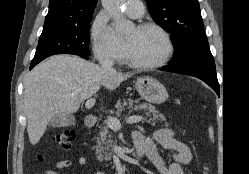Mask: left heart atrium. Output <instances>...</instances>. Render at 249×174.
I'll return each mask as SVG.
<instances>
[{"mask_svg": "<svg viewBox=\"0 0 249 174\" xmlns=\"http://www.w3.org/2000/svg\"><path fill=\"white\" fill-rule=\"evenodd\" d=\"M119 51L121 54H125V51H126V46L123 44L119 47Z\"/></svg>", "mask_w": 249, "mask_h": 174, "instance_id": "left-heart-atrium-1", "label": "left heart atrium"}]
</instances>
